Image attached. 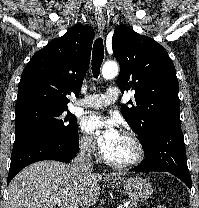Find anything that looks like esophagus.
I'll return each instance as SVG.
<instances>
[{
  "instance_id": "1",
  "label": "esophagus",
  "mask_w": 199,
  "mask_h": 208,
  "mask_svg": "<svg viewBox=\"0 0 199 208\" xmlns=\"http://www.w3.org/2000/svg\"><path fill=\"white\" fill-rule=\"evenodd\" d=\"M95 19H96L100 34L102 36H104L106 19H105V16H104L102 10H100V9L95 10Z\"/></svg>"
}]
</instances>
